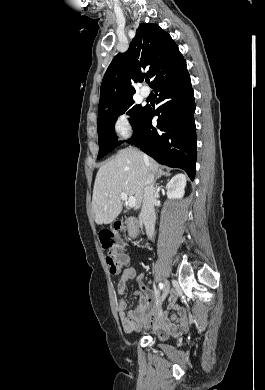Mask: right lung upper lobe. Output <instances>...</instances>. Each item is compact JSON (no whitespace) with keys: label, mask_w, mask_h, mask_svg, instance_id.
Instances as JSON below:
<instances>
[{"label":"right lung upper lobe","mask_w":265,"mask_h":390,"mask_svg":"<svg viewBox=\"0 0 265 390\" xmlns=\"http://www.w3.org/2000/svg\"><path fill=\"white\" fill-rule=\"evenodd\" d=\"M184 58L171 36L157 24H140L129 49L117 54L101 84L98 114L132 99V81L152 78L151 86L175 70ZM147 74V75H146Z\"/></svg>","instance_id":"right-lung-upper-lobe-1"}]
</instances>
